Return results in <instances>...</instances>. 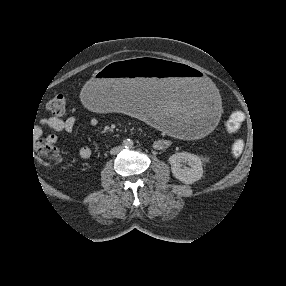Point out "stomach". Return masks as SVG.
Returning <instances> with one entry per match:
<instances>
[{
	"label": "stomach",
	"instance_id": "0dacf381",
	"mask_svg": "<svg viewBox=\"0 0 286 286\" xmlns=\"http://www.w3.org/2000/svg\"><path fill=\"white\" fill-rule=\"evenodd\" d=\"M83 97L94 112L133 113L178 138L207 133L219 116L212 81L187 63L122 56L87 79Z\"/></svg>",
	"mask_w": 286,
	"mask_h": 286
}]
</instances>
